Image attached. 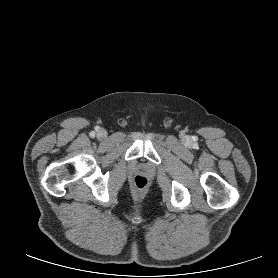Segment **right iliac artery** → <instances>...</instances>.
<instances>
[{"instance_id":"1","label":"right iliac artery","mask_w":278,"mask_h":278,"mask_svg":"<svg viewBox=\"0 0 278 278\" xmlns=\"http://www.w3.org/2000/svg\"><path fill=\"white\" fill-rule=\"evenodd\" d=\"M91 135H92V136H94V135H95V133H94V132H92V133H91Z\"/></svg>"}]
</instances>
